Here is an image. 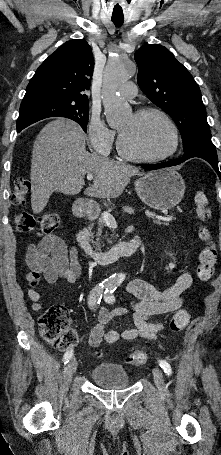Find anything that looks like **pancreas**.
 <instances>
[{"label": "pancreas", "instance_id": "cf45deb5", "mask_svg": "<svg viewBox=\"0 0 221 455\" xmlns=\"http://www.w3.org/2000/svg\"><path fill=\"white\" fill-rule=\"evenodd\" d=\"M104 220L102 218V215L101 216H98V221H97V225H98V228H97V233L96 235L93 237L92 239V243L93 245H95V248L96 250L100 251L101 249V244L103 242V238H104V235H103V225H104ZM155 223L157 224H162V225H168V222H159V221H156Z\"/></svg>", "mask_w": 221, "mask_h": 455}]
</instances>
